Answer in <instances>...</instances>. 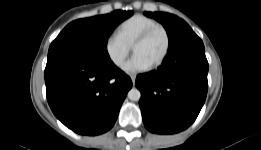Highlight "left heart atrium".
I'll return each mask as SVG.
<instances>
[{"instance_id": "1", "label": "left heart atrium", "mask_w": 261, "mask_h": 150, "mask_svg": "<svg viewBox=\"0 0 261 150\" xmlns=\"http://www.w3.org/2000/svg\"><path fill=\"white\" fill-rule=\"evenodd\" d=\"M151 65L140 55L134 54L133 57L126 62L123 70L128 73H139L148 70Z\"/></svg>"}]
</instances>
